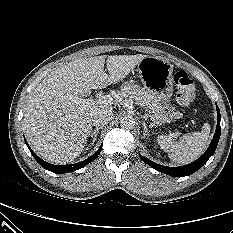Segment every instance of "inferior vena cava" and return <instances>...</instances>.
<instances>
[{
	"label": "inferior vena cava",
	"mask_w": 233,
	"mask_h": 233,
	"mask_svg": "<svg viewBox=\"0 0 233 233\" xmlns=\"http://www.w3.org/2000/svg\"><path fill=\"white\" fill-rule=\"evenodd\" d=\"M114 113L112 109H99L92 119L93 126L99 127L108 124L113 119Z\"/></svg>",
	"instance_id": "1"
}]
</instances>
